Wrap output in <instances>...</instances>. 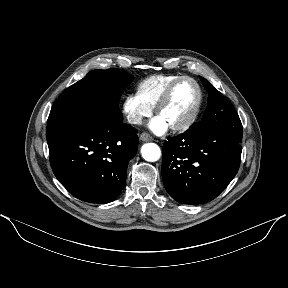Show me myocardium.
Listing matches in <instances>:
<instances>
[{"label":"myocardium","mask_w":288,"mask_h":288,"mask_svg":"<svg viewBox=\"0 0 288 288\" xmlns=\"http://www.w3.org/2000/svg\"><path fill=\"white\" fill-rule=\"evenodd\" d=\"M184 80H189V81L193 82V84L196 86L198 95H197V101H196L195 107H194L192 113L188 116V118H186L184 121H182L178 124L170 126V128L176 132L183 131V130H186L189 127H191L196 122V120L200 114L202 102H203V91H202V88H201L200 84L198 83V81L196 79H194L193 77L188 76V75H182V76L177 77L167 86V88L164 90V92L162 93V95L160 96L159 100L157 101V103L155 105V113H156V115H159L162 108L169 102L175 87L181 81H184Z\"/></svg>","instance_id":"obj_1"}]
</instances>
